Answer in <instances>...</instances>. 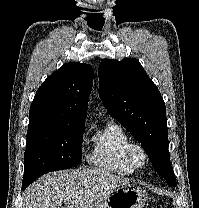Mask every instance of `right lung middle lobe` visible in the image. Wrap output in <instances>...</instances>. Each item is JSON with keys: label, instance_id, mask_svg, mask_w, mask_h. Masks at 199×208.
<instances>
[{"label": "right lung middle lobe", "instance_id": "dd1d6c3e", "mask_svg": "<svg viewBox=\"0 0 199 208\" xmlns=\"http://www.w3.org/2000/svg\"><path fill=\"white\" fill-rule=\"evenodd\" d=\"M84 122L64 124L29 120L23 181L75 167L81 159Z\"/></svg>", "mask_w": 199, "mask_h": 208}]
</instances>
